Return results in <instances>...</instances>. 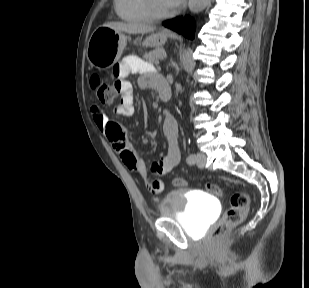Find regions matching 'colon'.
Returning <instances> with one entry per match:
<instances>
[{
  "mask_svg": "<svg viewBox=\"0 0 309 288\" xmlns=\"http://www.w3.org/2000/svg\"><path fill=\"white\" fill-rule=\"evenodd\" d=\"M88 83L92 93L103 103H109L116 95V87L112 89L98 74H91ZM173 184L179 187H185L187 181L182 177H177L173 180ZM148 187L150 191L153 192L151 187ZM207 189L214 195H223V190L215 184H208ZM249 205L250 198L246 192H236L232 194L230 197V206L223 214L221 220L215 225L212 231V238L215 240L220 239L229 232L231 228L240 224L249 209Z\"/></svg>",
  "mask_w": 309,
  "mask_h": 288,
  "instance_id": "1",
  "label": "colon"
}]
</instances>
